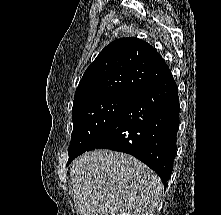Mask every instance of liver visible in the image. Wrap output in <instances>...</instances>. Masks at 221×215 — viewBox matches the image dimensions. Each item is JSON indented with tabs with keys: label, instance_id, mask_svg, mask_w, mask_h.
Masks as SVG:
<instances>
[{
	"label": "liver",
	"instance_id": "1",
	"mask_svg": "<svg viewBox=\"0 0 221 215\" xmlns=\"http://www.w3.org/2000/svg\"><path fill=\"white\" fill-rule=\"evenodd\" d=\"M70 178L80 215H153L163 192L144 163L106 149L75 159Z\"/></svg>",
	"mask_w": 221,
	"mask_h": 215
}]
</instances>
